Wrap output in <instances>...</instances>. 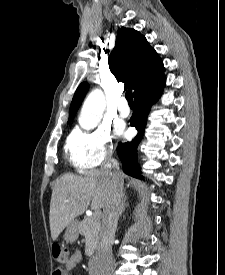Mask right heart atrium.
<instances>
[{"label": "right heart atrium", "mask_w": 225, "mask_h": 275, "mask_svg": "<svg viewBox=\"0 0 225 275\" xmlns=\"http://www.w3.org/2000/svg\"><path fill=\"white\" fill-rule=\"evenodd\" d=\"M66 149L72 164L80 171L96 169L110 156L112 135L106 127L93 130H74Z\"/></svg>", "instance_id": "obj_1"}]
</instances>
